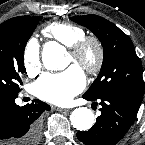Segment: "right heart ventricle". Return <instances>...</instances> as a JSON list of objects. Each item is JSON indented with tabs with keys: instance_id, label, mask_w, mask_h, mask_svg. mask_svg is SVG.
I'll return each instance as SVG.
<instances>
[{
	"instance_id": "1",
	"label": "right heart ventricle",
	"mask_w": 145,
	"mask_h": 145,
	"mask_svg": "<svg viewBox=\"0 0 145 145\" xmlns=\"http://www.w3.org/2000/svg\"><path fill=\"white\" fill-rule=\"evenodd\" d=\"M42 33L67 47L85 35L82 27L67 22L50 23L43 29Z\"/></svg>"
}]
</instances>
